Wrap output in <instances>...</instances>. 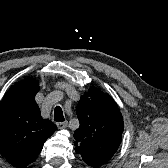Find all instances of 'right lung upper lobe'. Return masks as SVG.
Instances as JSON below:
<instances>
[{
	"instance_id": "cb5924a9",
	"label": "right lung upper lobe",
	"mask_w": 168,
	"mask_h": 168,
	"mask_svg": "<svg viewBox=\"0 0 168 168\" xmlns=\"http://www.w3.org/2000/svg\"><path fill=\"white\" fill-rule=\"evenodd\" d=\"M39 82L25 79L13 85L0 104V154L17 168L34 162L56 126L41 117L35 102Z\"/></svg>"
}]
</instances>
